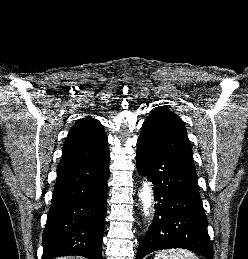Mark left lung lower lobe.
Returning a JSON list of instances; mask_svg holds the SVG:
<instances>
[{
    "label": "left lung lower lobe",
    "instance_id": "left-lung-lower-lobe-1",
    "mask_svg": "<svg viewBox=\"0 0 248 259\" xmlns=\"http://www.w3.org/2000/svg\"><path fill=\"white\" fill-rule=\"evenodd\" d=\"M136 165L153 183L155 217L139 240L137 259L161 249L184 248L213 259L196 173L137 141Z\"/></svg>",
    "mask_w": 248,
    "mask_h": 259
}]
</instances>
